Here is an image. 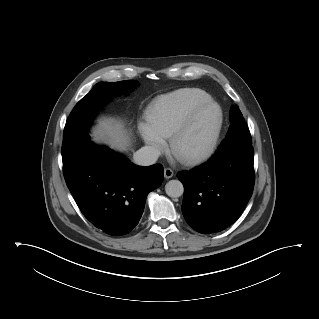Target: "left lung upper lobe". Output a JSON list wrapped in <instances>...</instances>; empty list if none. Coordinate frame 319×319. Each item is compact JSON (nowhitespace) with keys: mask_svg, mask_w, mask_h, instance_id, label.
I'll return each mask as SVG.
<instances>
[{"mask_svg":"<svg viewBox=\"0 0 319 319\" xmlns=\"http://www.w3.org/2000/svg\"><path fill=\"white\" fill-rule=\"evenodd\" d=\"M231 124L226 138L218 148H225L232 143L251 144V135L248 126L237 106H232L230 111Z\"/></svg>","mask_w":319,"mask_h":319,"instance_id":"left-lung-upper-lobe-1","label":"left lung upper lobe"}]
</instances>
